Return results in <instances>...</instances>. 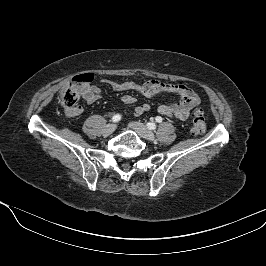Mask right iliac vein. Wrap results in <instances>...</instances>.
I'll return each instance as SVG.
<instances>
[{
  "label": "right iliac vein",
  "mask_w": 266,
  "mask_h": 266,
  "mask_svg": "<svg viewBox=\"0 0 266 266\" xmlns=\"http://www.w3.org/2000/svg\"><path fill=\"white\" fill-rule=\"evenodd\" d=\"M116 129V125L115 124H108L105 129H104V134L105 135H110L112 134Z\"/></svg>",
  "instance_id": "63e3f726"
}]
</instances>
